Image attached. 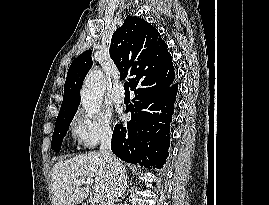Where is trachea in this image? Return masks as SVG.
I'll return each instance as SVG.
<instances>
[{
    "label": "trachea",
    "mask_w": 269,
    "mask_h": 205,
    "mask_svg": "<svg viewBox=\"0 0 269 205\" xmlns=\"http://www.w3.org/2000/svg\"><path fill=\"white\" fill-rule=\"evenodd\" d=\"M124 89H125L126 93H129V83L128 82L124 83Z\"/></svg>",
    "instance_id": "trachea-1"
}]
</instances>
